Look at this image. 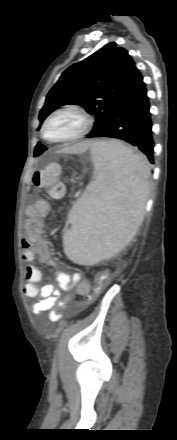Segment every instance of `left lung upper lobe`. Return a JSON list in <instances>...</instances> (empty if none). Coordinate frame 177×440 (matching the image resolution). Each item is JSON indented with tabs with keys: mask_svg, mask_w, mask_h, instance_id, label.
I'll use <instances>...</instances> for the list:
<instances>
[{
	"mask_svg": "<svg viewBox=\"0 0 177 440\" xmlns=\"http://www.w3.org/2000/svg\"><path fill=\"white\" fill-rule=\"evenodd\" d=\"M141 78L128 52L114 42L109 43L62 73L46 97L39 120L43 122L59 106L82 105L88 113L95 115L92 133L107 122ZM46 149L38 143L34 156Z\"/></svg>",
	"mask_w": 177,
	"mask_h": 440,
	"instance_id": "5c2ea615",
	"label": "left lung upper lobe"
}]
</instances>
